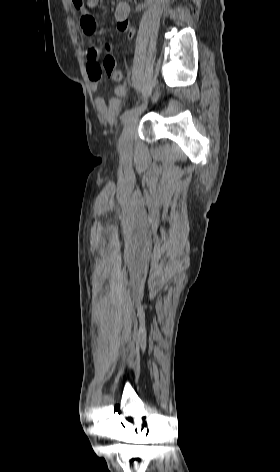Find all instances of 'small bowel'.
<instances>
[{
  "mask_svg": "<svg viewBox=\"0 0 280 472\" xmlns=\"http://www.w3.org/2000/svg\"><path fill=\"white\" fill-rule=\"evenodd\" d=\"M82 0H72L75 8L80 12V27L85 35L92 36L96 32V21L93 16L88 12L85 3L79 2ZM130 14V6L127 2L121 1L115 7V21L117 29L125 33L129 39L134 37L135 31L131 26L128 18ZM106 50L109 51L110 48L106 45ZM99 55L100 50L96 46H91L87 52V73L90 80V86L93 91H96L99 85V82L102 78V66L99 64ZM113 59L111 54H107L105 59ZM115 97L110 101H106L102 97H97L95 99V105L99 113L104 119L108 122H114L117 114L123 104V98L126 95V88L122 85H119L115 88Z\"/></svg>",
  "mask_w": 280,
  "mask_h": 472,
  "instance_id": "c3829d8e",
  "label": "small bowel"
}]
</instances>
